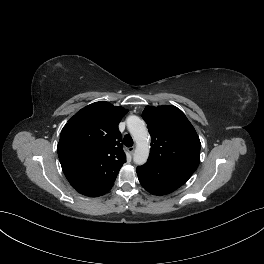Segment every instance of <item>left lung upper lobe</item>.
I'll list each match as a JSON object with an SVG mask.
<instances>
[{
    "mask_svg": "<svg viewBox=\"0 0 264 264\" xmlns=\"http://www.w3.org/2000/svg\"><path fill=\"white\" fill-rule=\"evenodd\" d=\"M143 119L151 135L147 162L163 172L188 180L200 163L199 137L184 113L175 106H146Z\"/></svg>",
    "mask_w": 264,
    "mask_h": 264,
    "instance_id": "obj_1",
    "label": "left lung upper lobe"
}]
</instances>
